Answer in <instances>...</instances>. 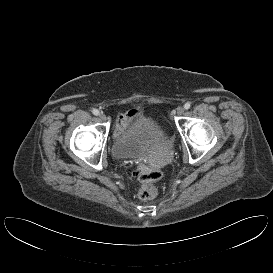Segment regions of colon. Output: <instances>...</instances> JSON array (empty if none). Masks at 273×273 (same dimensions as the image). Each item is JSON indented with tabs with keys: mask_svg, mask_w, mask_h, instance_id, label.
<instances>
[{
	"mask_svg": "<svg viewBox=\"0 0 273 273\" xmlns=\"http://www.w3.org/2000/svg\"><path fill=\"white\" fill-rule=\"evenodd\" d=\"M138 179L140 186L138 188V196L143 200H150L156 197L157 187L155 182L160 179L161 172L158 169L141 165L138 168Z\"/></svg>",
	"mask_w": 273,
	"mask_h": 273,
	"instance_id": "colon-1",
	"label": "colon"
}]
</instances>
